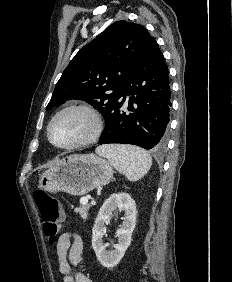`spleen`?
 <instances>
[{"label":"spleen","instance_id":"1","mask_svg":"<svg viewBox=\"0 0 232 282\" xmlns=\"http://www.w3.org/2000/svg\"><path fill=\"white\" fill-rule=\"evenodd\" d=\"M96 152L108 158L110 163L128 180L142 178L151 168L152 158L143 149L129 145H107L96 149Z\"/></svg>","mask_w":232,"mask_h":282}]
</instances>
